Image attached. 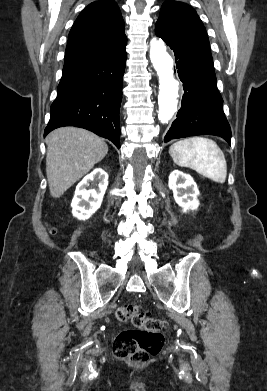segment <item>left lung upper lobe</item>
Wrapping results in <instances>:
<instances>
[{"label":"left lung upper lobe","mask_w":267,"mask_h":391,"mask_svg":"<svg viewBox=\"0 0 267 391\" xmlns=\"http://www.w3.org/2000/svg\"><path fill=\"white\" fill-rule=\"evenodd\" d=\"M155 32L210 52L202 21L196 11L183 2L166 0L163 3Z\"/></svg>","instance_id":"obj_1"}]
</instances>
